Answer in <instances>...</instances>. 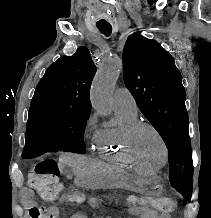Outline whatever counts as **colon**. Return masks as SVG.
<instances>
[{
	"label": "colon",
	"mask_w": 211,
	"mask_h": 218,
	"mask_svg": "<svg viewBox=\"0 0 211 218\" xmlns=\"http://www.w3.org/2000/svg\"><path fill=\"white\" fill-rule=\"evenodd\" d=\"M28 185L45 201L54 202L66 198L79 202L84 199L79 193L63 194V185L59 182V169L54 160L48 157L42 158L32 168L28 175ZM128 201L132 205L143 208H154L162 213H168L174 208V202L169 198L131 196ZM41 213V210L36 207L30 210L31 218H40Z\"/></svg>",
	"instance_id": "obj_1"
}]
</instances>
